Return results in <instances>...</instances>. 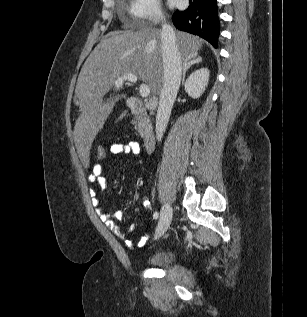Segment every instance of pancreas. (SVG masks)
<instances>
[{"label": "pancreas", "mask_w": 307, "mask_h": 317, "mask_svg": "<svg viewBox=\"0 0 307 317\" xmlns=\"http://www.w3.org/2000/svg\"><path fill=\"white\" fill-rule=\"evenodd\" d=\"M135 119H136L135 130H137L138 133H140V134L144 133L145 127H150L151 126L150 118L147 117V115L145 113H143L141 115H137L135 117Z\"/></svg>", "instance_id": "cf45deb5"}]
</instances>
